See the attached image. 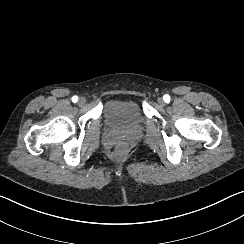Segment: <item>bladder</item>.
<instances>
[{"label": "bladder", "instance_id": "1", "mask_svg": "<svg viewBox=\"0 0 244 244\" xmlns=\"http://www.w3.org/2000/svg\"><path fill=\"white\" fill-rule=\"evenodd\" d=\"M102 114L104 121L115 129H137L145 122L142 109L132 100L109 99L102 107Z\"/></svg>", "mask_w": 244, "mask_h": 244}]
</instances>
